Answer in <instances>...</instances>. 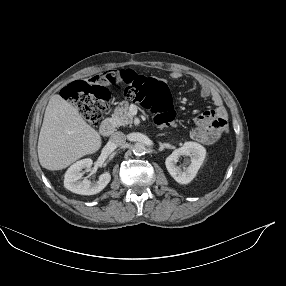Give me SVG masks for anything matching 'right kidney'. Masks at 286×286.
<instances>
[{"mask_svg":"<svg viewBox=\"0 0 286 286\" xmlns=\"http://www.w3.org/2000/svg\"><path fill=\"white\" fill-rule=\"evenodd\" d=\"M92 164V159L86 158L71 165L65 173L64 187L73 193L81 195H94L102 191L111 180L109 172L101 174L97 182H91L87 179L81 180L82 169H89Z\"/></svg>","mask_w":286,"mask_h":286,"instance_id":"right-kidney-1","label":"right kidney"}]
</instances>
